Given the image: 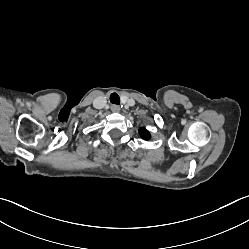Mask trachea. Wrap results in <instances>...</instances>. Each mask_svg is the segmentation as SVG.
I'll return each mask as SVG.
<instances>
[{
  "instance_id": "1",
  "label": "trachea",
  "mask_w": 249,
  "mask_h": 249,
  "mask_svg": "<svg viewBox=\"0 0 249 249\" xmlns=\"http://www.w3.org/2000/svg\"><path fill=\"white\" fill-rule=\"evenodd\" d=\"M110 102L113 103V104H117L119 105L120 104V97L117 93H112L110 95Z\"/></svg>"
}]
</instances>
